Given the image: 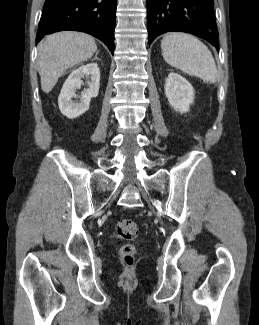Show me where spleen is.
<instances>
[{
  "mask_svg": "<svg viewBox=\"0 0 259 325\" xmlns=\"http://www.w3.org/2000/svg\"><path fill=\"white\" fill-rule=\"evenodd\" d=\"M164 60L172 67L204 81L215 83L217 67L208 47L186 33H170L161 41Z\"/></svg>",
  "mask_w": 259,
  "mask_h": 325,
  "instance_id": "1",
  "label": "spleen"
}]
</instances>
